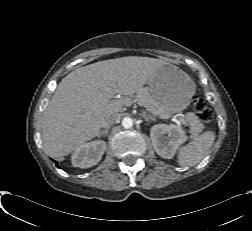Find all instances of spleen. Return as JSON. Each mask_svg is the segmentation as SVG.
Instances as JSON below:
<instances>
[{"instance_id":"obj_1","label":"spleen","mask_w":252,"mask_h":231,"mask_svg":"<svg viewBox=\"0 0 252 231\" xmlns=\"http://www.w3.org/2000/svg\"><path fill=\"white\" fill-rule=\"evenodd\" d=\"M213 131H206L195 137L178 151L177 162L181 167L197 165L208 153L215 140Z\"/></svg>"}]
</instances>
